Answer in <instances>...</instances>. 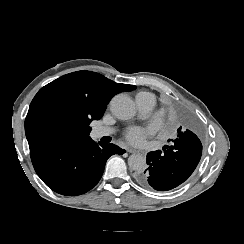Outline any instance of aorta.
<instances>
[{"mask_svg":"<svg viewBox=\"0 0 244 244\" xmlns=\"http://www.w3.org/2000/svg\"><path fill=\"white\" fill-rule=\"evenodd\" d=\"M112 114L120 120H129L136 114L133 101L123 95L115 96L110 106ZM128 166L134 171H143L147 167L146 159L140 154H132L128 158Z\"/></svg>","mask_w":244,"mask_h":244,"instance_id":"762f6f07","label":"aorta"}]
</instances>
